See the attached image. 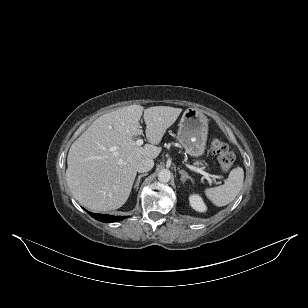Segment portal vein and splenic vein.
I'll list each match as a JSON object with an SVG mask.
<instances>
[{
  "instance_id": "18ae733b",
  "label": "portal vein and splenic vein",
  "mask_w": 308,
  "mask_h": 308,
  "mask_svg": "<svg viewBox=\"0 0 308 308\" xmlns=\"http://www.w3.org/2000/svg\"><path fill=\"white\" fill-rule=\"evenodd\" d=\"M135 143H136V145L141 146L143 144V139H141V138L137 139ZM187 167L192 171H195L197 173L202 174L204 176V178L207 179L209 182L212 181V179L210 177L216 178L215 176L209 175L207 172L203 171L201 168H197V167H194V166H191V165H187Z\"/></svg>"
}]
</instances>
